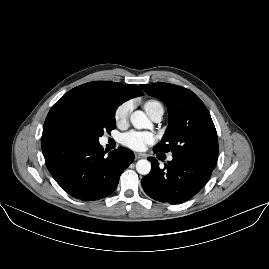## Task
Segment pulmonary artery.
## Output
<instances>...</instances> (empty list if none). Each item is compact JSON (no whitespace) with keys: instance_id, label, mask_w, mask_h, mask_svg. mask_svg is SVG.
<instances>
[{"instance_id":"1","label":"pulmonary artery","mask_w":269,"mask_h":269,"mask_svg":"<svg viewBox=\"0 0 269 269\" xmlns=\"http://www.w3.org/2000/svg\"><path fill=\"white\" fill-rule=\"evenodd\" d=\"M149 117L152 119L154 122H160L162 120L163 114H164V108L161 104H158L151 108L148 112ZM168 161L173 160V156L169 155L168 156Z\"/></svg>"}]
</instances>
